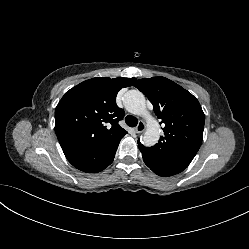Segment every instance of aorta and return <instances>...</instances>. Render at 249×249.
I'll return each mask as SVG.
<instances>
[{
    "label": "aorta",
    "mask_w": 249,
    "mask_h": 249,
    "mask_svg": "<svg viewBox=\"0 0 249 249\" xmlns=\"http://www.w3.org/2000/svg\"><path fill=\"white\" fill-rule=\"evenodd\" d=\"M124 105L130 113L146 117L147 129L142 136V143L148 147L155 145L160 137L159 124L148 115L144 95L138 90H130L124 95Z\"/></svg>",
    "instance_id": "762f6f07"
}]
</instances>
